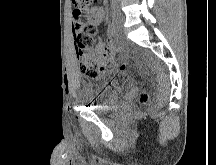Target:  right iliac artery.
<instances>
[{"label": "right iliac artery", "instance_id": "obj_1", "mask_svg": "<svg viewBox=\"0 0 216 165\" xmlns=\"http://www.w3.org/2000/svg\"><path fill=\"white\" fill-rule=\"evenodd\" d=\"M115 32H116V28H115V25H114V23L112 21L108 25V33H109L110 36H114Z\"/></svg>", "mask_w": 216, "mask_h": 165}]
</instances>
